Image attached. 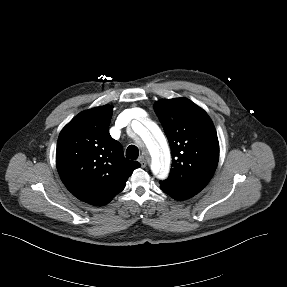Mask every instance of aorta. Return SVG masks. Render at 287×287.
<instances>
[{"instance_id": "1", "label": "aorta", "mask_w": 287, "mask_h": 287, "mask_svg": "<svg viewBox=\"0 0 287 287\" xmlns=\"http://www.w3.org/2000/svg\"><path fill=\"white\" fill-rule=\"evenodd\" d=\"M149 126L153 130L155 138L158 141L156 142L150 139L146 143L148 152L151 156V171L153 174L159 175L162 179H165L170 170V151L159 127L153 122H149Z\"/></svg>"}]
</instances>
